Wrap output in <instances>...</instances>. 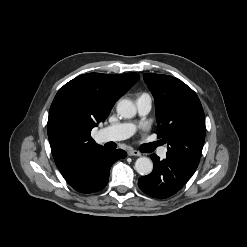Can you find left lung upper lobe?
I'll use <instances>...</instances> for the list:
<instances>
[{
  "label": "left lung upper lobe",
  "mask_w": 247,
  "mask_h": 247,
  "mask_svg": "<svg viewBox=\"0 0 247 247\" xmlns=\"http://www.w3.org/2000/svg\"><path fill=\"white\" fill-rule=\"evenodd\" d=\"M156 104L157 135L166 155L197 168L205 140V116L197 94L181 80L163 74H144Z\"/></svg>",
  "instance_id": "1"
}]
</instances>
